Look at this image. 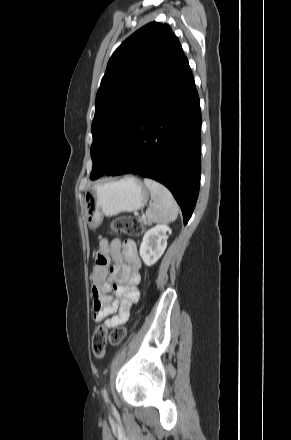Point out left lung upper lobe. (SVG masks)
Masks as SVG:
<instances>
[{"mask_svg":"<svg viewBox=\"0 0 291 440\" xmlns=\"http://www.w3.org/2000/svg\"><path fill=\"white\" fill-rule=\"evenodd\" d=\"M169 25L152 22L113 53L96 95L92 122V180L105 173L145 108L184 59Z\"/></svg>","mask_w":291,"mask_h":440,"instance_id":"1","label":"left lung upper lobe"}]
</instances>
